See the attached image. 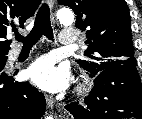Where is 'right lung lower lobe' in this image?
<instances>
[{"label": "right lung lower lobe", "mask_w": 142, "mask_h": 119, "mask_svg": "<svg viewBox=\"0 0 142 119\" xmlns=\"http://www.w3.org/2000/svg\"><path fill=\"white\" fill-rule=\"evenodd\" d=\"M6 60L0 62V119H40L46 108L44 95L4 72Z\"/></svg>", "instance_id": "98d812e1"}]
</instances>
